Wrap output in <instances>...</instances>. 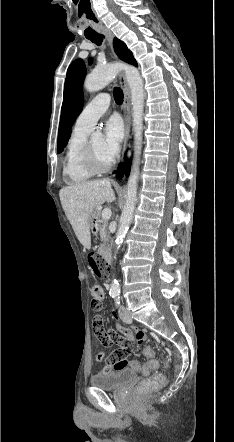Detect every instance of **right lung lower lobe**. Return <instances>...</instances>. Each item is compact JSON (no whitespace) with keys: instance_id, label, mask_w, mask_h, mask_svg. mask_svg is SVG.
I'll use <instances>...</instances> for the list:
<instances>
[{"instance_id":"right-lung-lower-lobe-1","label":"right lung lower lobe","mask_w":234,"mask_h":442,"mask_svg":"<svg viewBox=\"0 0 234 442\" xmlns=\"http://www.w3.org/2000/svg\"><path fill=\"white\" fill-rule=\"evenodd\" d=\"M125 162H126L125 165H124V163H121V164L119 165V167H118V170H117L116 176H117V178H119V179L122 178L124 172H125L126 175H128L129 172H130V160L125 159Z\"/></svg>"}]
</instances>
